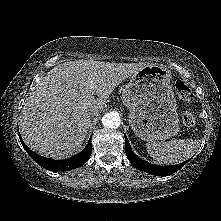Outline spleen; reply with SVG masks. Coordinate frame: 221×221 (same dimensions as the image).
<instances>
[{
    "label": "spleen",
    "mask_w": 221,
    "mask_h": 221,
    "mask_svg": "<svg viewBox=\"0 0 221 221\" xmlns=\"http://www.w3.org/2000/svg\"><path fill=\"white\" fill-rule=\"evenodd\" d=\"M199 139L171 140L146 144L150 156L159 163L177 164L190 158L200 147Z\"/></svg>",
    "instance_id": "spleen-1"
}]
</instances>
